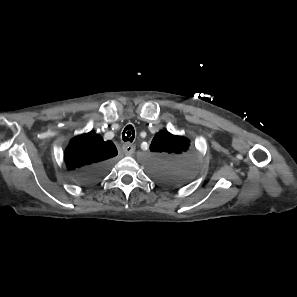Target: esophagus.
I'll use <instances>...</instances> for the list:
<instances>
[{"label":"esophagus","instance_id":"34e87169","mask_svg":"<svg viewBox=\"0 0 297 297\" xmlns=\"http://www.w3.org/2000/svg\"><path fill=\"white\" fill-rule=\"evenodd\" d=\"M122 149L126 155L130 156L135 151V145L125 143V144H123Z\"/></svg>","mask_w":297,"mask_h":297}]
</instances>
